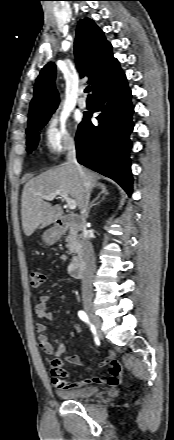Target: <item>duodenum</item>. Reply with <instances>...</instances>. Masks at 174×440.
<instances>
[{
	"label": "duodenum",
	"mask_w": 174,
	"mask_h": 440,
	"mask_svg": "<svg viewBox=\"0 0 174 440\" xmlns=\"http://www.w3.org/2000/svg\"><path fill=\"white\" fill-rule=\"evenodd\" d=\"M84 227L83 219L78 215H64L56 221L55 232L63 234L68 230L80 231ZM85 264L77 256L70 265V273L75 278H81L84 275Z\"/></svg>",
	"instance_id": "duodenum-1"
}]
</instances>
